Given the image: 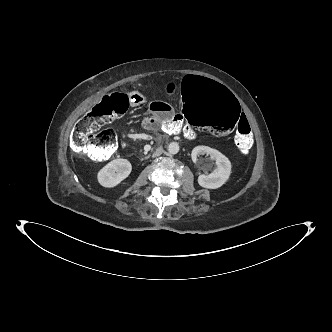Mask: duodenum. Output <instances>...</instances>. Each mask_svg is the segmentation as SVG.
Returning a JSON list of instances; mask_svg holds the SVG:
<instances>
[{
  "mask_svg": "<svg viewBox=\"0 0 332 332\" xmlns=\"http://www.w3.org/2000/svg\"><path fill=\"white\" fill-rule=\"evenodd\" d=\"M153 125L154 126H158L159 122L155 121L153 123ZM164 135L166 137H169V136H178V137H183V138H186V139H191L192 138L191 134L187 130L180 129V128H177V129H167L165 131Z\"/></svg>",
  "mask_w": 332,
  "mask_h": 332,
  "instance_id": "1",
  "label": "duodenum"
}]
</instances>
